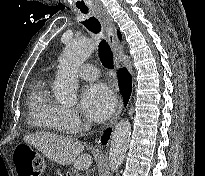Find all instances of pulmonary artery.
Here are the masks:
<instances>
[{
  "label": "pulmonary artery",
  "instance_id": "pulmonary-artery-1",
  "mask_svg": "<svg viewBox=\"0 0 205 176\" xmlns=\"http://www.w3.org/2000/svg\"><path fill=\"white\" fill-rule=\"evenodd\" d=\"M77 72L80 77L86 80H95L99 76L98 69L90 64H82Z\"/></svg>",
  "mask_w": 205,
  "mask_h": 176
}]
</instances>
